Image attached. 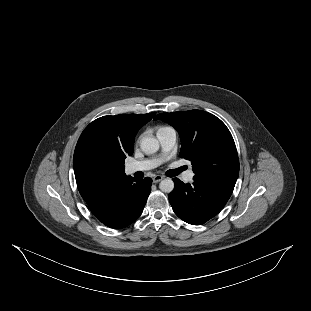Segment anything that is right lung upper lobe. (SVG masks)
I'll use <instances>...</instances> for the list:
<instances>
[{"label":"right lung upper lobe","mask_w":311,"mask_h":311,"mask_svg":"<svg viewBox=\"0 0 311 311\" xmlns=\"http://www.w3.org/2000/svg\"><path fill=\"white\" fill-rule=\"evenodd\" d=\"M154 115L155 112L103 116L85 128L74 151L73 167L78 190L86 203L130 178L124 172V160L133 154L138 130ZM93 143L100 148L96 155L87 151Z\"/></svg>","instance_id":"cb5924a9"}]
</instances>
